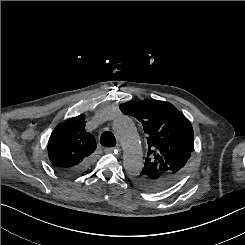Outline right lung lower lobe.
I'll list each match as a JSON object with an SVG mask.
<instances>
[{
    "label": "right lung lower lobe",
    "instance_id": "98d812e1",
    "mask_svg": "<svg viewBox=\"0 0 245 245\" xmlns=\"http://www.w3.org/2000/svg\"><path fill=\"white\" fill-rule=\"evenodd\" d=\"M89 166H90V158L73 169L70 170L59 169V170L67 175H78L85 172L89 168Z\"/></svg>",
    "mask_w": 245,
    "mask_h": 245
}]
</instances>
